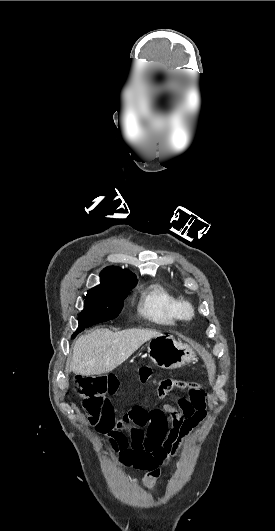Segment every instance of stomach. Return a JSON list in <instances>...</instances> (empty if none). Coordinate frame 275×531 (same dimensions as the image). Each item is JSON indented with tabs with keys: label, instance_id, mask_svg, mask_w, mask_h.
<instances>
[{
	"label": "stomach",
	"instance_id": "stomach-1",
	"mask_svg": "<svg viewBox=\"0 0 275 531\" xmlns=\"http://www.w3.org/2000/svg\"><path fill=\"white\" fill-rule=\"evenodd\" d=\"M146 358L161 369H179L195 361V353L187 343H178L173 335H158L150 339Z\"/></svg>",
	"mask_w": 275,
	"mask_h": 531
}]
</instances>
